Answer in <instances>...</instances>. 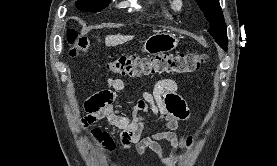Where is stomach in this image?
I'll return each mask as SVG.
<instances>
[{
  "mask_svg": "<svg viewBox=\"0 0 277 166\" xmlns=\"http://www.w3.org/2000/svg\"><path fill=\"white\" fill-rule=\"evenodd\" d=\"M178 39L172 33L157 32L148 37L143 45L142 51L151 55L170 52L177 47Z\"/></svg>",
  "mask_w": 277,
  "mask_h": 166,
  "instance_id": "stomach-1",
  "label": "stomach"
}]
</instances>
